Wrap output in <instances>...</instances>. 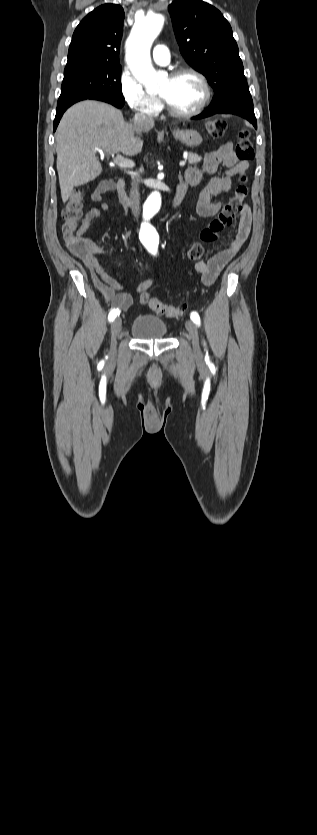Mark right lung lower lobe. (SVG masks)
Returning <instances> with one entry per match:
<instances>
[{
    "instance_id": "98d812e1",
    "label": "right lung lower lobe",
    "mask_w": 317,
    "mask_h": 835,
    "mask_svg": "<svg viewBox=\"0 0 317 835\" xmlns=\"http://www.w3.org/2000/svg\"><path fill=\"white\" fill-rule=\"evenodd\" d=\"M86 99H93V100H99V101L107 102V103H110V104L114 105L117 108H121L124 105V99L123 98L115 97V96H112V95H109V94L95 95V96H92V97H89V98H86ZM82 100H85V99H82ZM78 101H81V100H77V101H73L71 103H67V104H64V105L57 106L56 116H55L54 123H53L54 131L56 130V128L58 126V123H59L63 113L65 112V110L68 107H70L72 104H74Z\"/></svg>"
}]
</instances>
